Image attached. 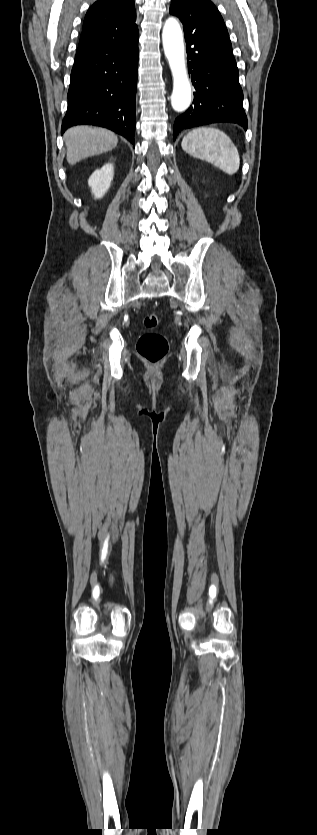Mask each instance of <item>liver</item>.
<instances>
[{"mask_svg":"<svg viewBox=\"0 0 317 835\" xmlns=\"http://www.w3.org/2000/svg\"><path fill=\"white\" fill-rule=\"evenodd\" d=\"M63 138L67 147V161L71 165L83 158L111 151L118 143V137L113 132L90 126L70 128Z\"/></svg>","mask_w":317,"mask_h":835,"instance_id":"liver-1","label":"liver"}]
</instances>
